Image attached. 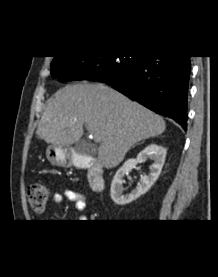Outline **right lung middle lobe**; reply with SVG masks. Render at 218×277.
<instances>
[{
    "label": "right lung middle lobe",
    "mask_w": 218,
    "mask_h": 277,
    "mask_svg": "<svg viewBox=\"0 0 218 277\" xmlns=\"http://www.w3.org/2000/svg\"><path fill=\"white\" fill-rule=\"evenodd\" d=\"M143 56H59L51 63L54 78L66 82L74 79L100 78L103 80L124 79L141 61Z\"/></svg>",
    "instance_id": "1"
}]
</instances>
